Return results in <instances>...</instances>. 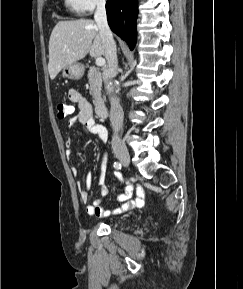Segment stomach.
<instances>
[{
    "mask_svg": "<svg viewBox=\"0 0 243 289\" xmlns=\"http://www.w3.org/2000/svg\"><path fill=\"white\" fill-rule=\"evenodd\" d=\"M84 74V67L80 63H73L62 69L63 77L70 79H80Z\"/></svg>",
    "mask_w": 243,
    "mask_h": 289,
    "instance_id": "obj_1",
    "label": "stomach"
}]
</instances>
